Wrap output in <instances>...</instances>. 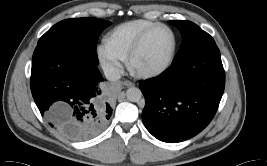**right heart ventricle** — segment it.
<instances>
[{"mask_svg":"<svg viewBox=\"0 0 267 166\" xmlns=\"http://www.w3.org/2000/svg\"><path fill=\"white\" fill-rule=\"evenodd\" d=\"M155 24L157 23L145 19L120 24L108 34V44L124 60L138 38Z\"/></svg>","mask_w":267,"mask_h":166,"instance_id":"obj_1","label":"right heart ventricle"}]
</instances>
